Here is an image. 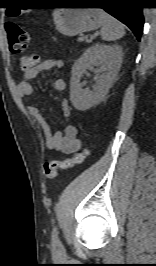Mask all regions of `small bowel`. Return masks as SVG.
<instances>
[{
    "label": "small bowel",
    "instance_id": "c3829d8e",
    "mask_svg": "<svg viewBox=\"0 0 156 266\" xmlns=\"http://www.w3.org/2000/svg\"><path fill=\"white\" fill-rule=\"evenodd\" d=\"M62 66V61L58 58H50L41 62L39 65L26 70L23 80L18 84L17 91L20 97H29L34 92V87L30 80L34 79L39 72L58 69ZM66 87L65 81L56 77L54 80V88L57 91H63ZM61 113L65 122L71 119V108L66 99L60 101ZM28 113L41 126L45 138L47 149L60 151L64 154H72L77 152L81 147V141L77 138V130L74 126L67 124L63 129L52 132L49 124L42 115L37 106H29Z\"/></svg>",
    "mask_w": 156,
    "mask_h": 266
}]
</instances>
